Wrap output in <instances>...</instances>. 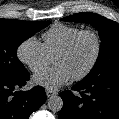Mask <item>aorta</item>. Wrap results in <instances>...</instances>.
<instances>
[{
  "label": "aorta",
  "mask_w": 119,
  "mask_h": 119,
  "mask_svg": "<svg viewBox=\"0 0 119 119\" xmlns=\"http://www.w3.org/2000/svg\"><path fill=\"white\" fill-rule=\"evenodd\" d=\"M48 108L51 111L59 112L63 107V100L60 96H50L47 100Z\"/></svg>",
  "instance_id": "762f6f07"
}]
</instances>
